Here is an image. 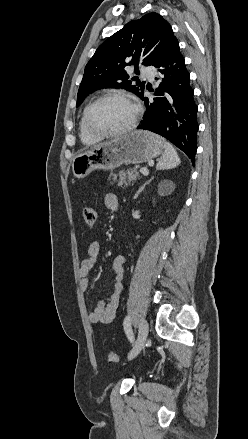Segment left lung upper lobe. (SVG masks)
<instances>
[{"mask_svg":"<svg viewBox=\"0 0 248 439\" xmlns=\"http://www.w3.org/2000/svg\"><path fill=\"white\" fill-rule=\"evenodd\" d=\"M177 41L170 24L159 14L150 13L127 23L104 41L87 63L78 95V107L88 94L102 88H123L142 97L144 82L132 85L127 65L139 62L155 66Z\"/></svg>","mask_w":248,"mask_h":439,"instance_id":"5c2ea615","label":"left lung upper lobe"}]
</instances>
